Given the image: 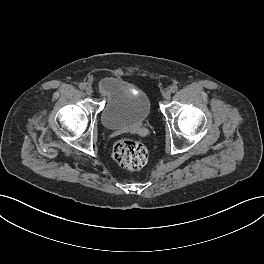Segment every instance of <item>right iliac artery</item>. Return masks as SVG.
<instances>
[{
	"label": "right iliac artery",
	"mask_w": 264,
	"mask_h": 264,
	"mask_svg": "<svg viewBox=\"0 0 264 264\" xmlns=\"http://www.w3.org/2000/svg\"><path fill=\"white\" fill-rule=\"evenodd\" d=\"M79 88H80L81 90H85V89H86V85H85L84 83H80V84H79Z\"/></svg>",
	"instance_id": "1"
}]
</instances>
